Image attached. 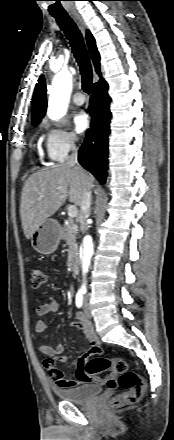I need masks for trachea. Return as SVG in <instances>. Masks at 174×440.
<instances>
[{
	"label": "trachea",
	"mask_w": 174,
	"mask_h": 440,
	"mask_svg": "<svg viewBox=\"0 0 174 440\" xmlns=\"http://www.w3.org/2000/svg\"><path fill=\"white\" fill-rule=\"evenodd\" d=\"M54 18L65 33L72 47L82 76V89L85 93L90 94L93 79L92 67L81 32L70 16L54 15Z\"/></svg>",
	"instance_id": "1"
}]
</instances>
